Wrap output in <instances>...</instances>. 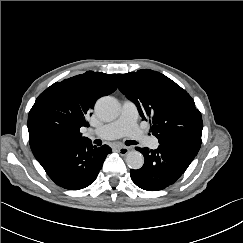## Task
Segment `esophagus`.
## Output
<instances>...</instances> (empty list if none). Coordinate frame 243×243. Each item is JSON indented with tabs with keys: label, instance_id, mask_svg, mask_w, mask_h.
Segmentation results:
<instances>
[{
	"label": "esophagus",
	"instance_id": "obj_1",
	"mask_svg": "<svg viewBox=\"0 0 243 243\" xmlns=\"http://www.w3.org/2000/svg\"><path fill=\"white\" fill-rule=\"evenodd\" d=\"M117 151L121 154V155H126L129 152V148L128 147H118Z\"/></svg>",
	"mask_w": 243,
	"mask_h": 243
}]
</instances>
